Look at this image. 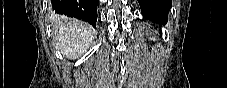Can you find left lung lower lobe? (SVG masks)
<instances>
[{"label": "left lung lower lobe", "instance_id": "1", "mask_svg": "<svg viewBox=\"0 0 227 88\" xmlns=\"http://www.w3.org/2000/svg\"><path fill=\"white\" fill-rule=\"evenodd\" d=\"M143 16L160 25L167 23L171 0H138Z\"/></svg>", "mask_w": 227, "mask_h": 88}]
</instances>
